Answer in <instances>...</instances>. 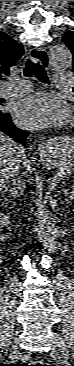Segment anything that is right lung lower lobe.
<instances>
[{"label": "right lung lower lobe", "instance_id": "98d812e1", "mask_svg": "<svg viewBox=\"0 0 74 366\" xmlns=\"http://www.w3.org/2000/svg\"><path fill=\"white\" fill-rule=\"evenodd\" d=\"M0 132H4L9 137L15 139L17 142H20L24 145L26 137L29 135V132L22 131L17 128L11 121V117L9 114H1L0 115Z\"/></svg>", "mask_w": 74, "mask_h": 366}]
</instances>
